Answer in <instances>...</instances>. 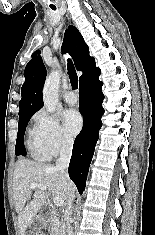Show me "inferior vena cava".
<instances>
[{
    "instance_id": "obj_1",
    "label": "inferior vena cava",
    "mask_w": 155,
    "mask_h": 235,
    "mask_svg": "<svg viewBox=\"0 0 155 235\" xmlns=\"http://www.w3.org/2000/svg\"><path fill=\"white\" fill-rule=\"evenodd\" d=\"M72 147H73V140L72 139H65L63 141L62 147H61V150H60V157L56 161V166H55V168L57 170L62 171L67 178H69L67 170H68V166H69V162H70V158H71V154H72ZM74 197L75 196H74L73 192L68 193L67 213L69 215H71L72 202L74 200ZM68 235H73V231H72V228H71L70 225L68 226Z\"/></svg>"
}]
</instances>
